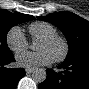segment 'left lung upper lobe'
<instances>
[{
    "label": "left lung upper lobe",
    "instance_id": "1",
    "mask_svg": "<svg viewBox=\"0 0 89 89\" xmlns=\"http://www.w3.org/2000/svg\"><path fill=\"white\" fill-rule=\"evenodd\" d=\"M56 25L65 35L69 51L65 62L89 56V22L71 12H57L37 17Z\"/></svg>",
    "mask_w": 89,
    "mask_h": 89
}]
</instances>
